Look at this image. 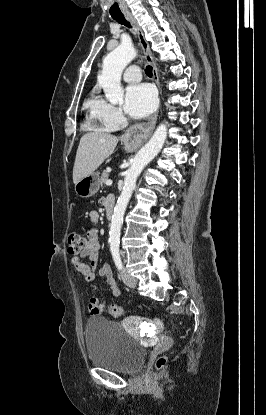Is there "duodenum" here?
<instances>
[{"instance_id":"1","label":"duodenum","mask_w":266,"mask_h":415,"mask_svg":"<svg viewBox=\"0 0 266 415\" xmlns=\"http://www.w3.org/2000/svg\"><path fill=\"white\" fill-rule=\"evenodd\" d=\"M115 203L113 201H109L105 204L106 208V215L108 218H111L113 211H114Z\"/></svg>"}]
</instances>
